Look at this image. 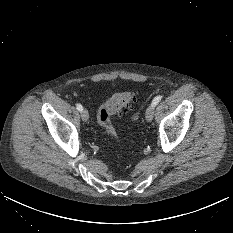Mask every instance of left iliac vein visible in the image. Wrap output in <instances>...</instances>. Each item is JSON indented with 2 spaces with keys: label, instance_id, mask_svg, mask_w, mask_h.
Here are the masks:
<instances>
[{
  "label": "left iliac vein",
  "instance_id": "obj_1",
  "mask_svg": "<svg viewBox=\"0 0 233 233\" xmlns=\"http://www.w3.org/2000/svg\"><path fill=\"white\" fill-rule=\"evenodd\" d=\"M154 108L155 106L153 104L149 105L147 110H146V114H145V117H146V120L148 122H151L152 119H153V116H154Z\"/></svg>",
  "mask_w": 233,
  "mask_h": 233
}]
</instances>
